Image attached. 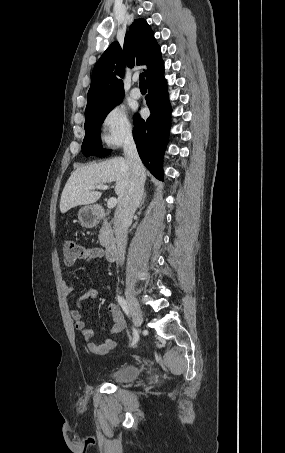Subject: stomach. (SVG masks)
<instances>
[{"label":"stomach","instance_id":"0dacf381","mask_svg":"<svg viewBox=\"0 0 285 453\" xmlns=\"http://www.w3.org/2000/svg\"><path fill=\"white\" fill-rule=\"evenodd\" d=\"M78 219L81 226L92 228L98 223V214L94 207L84 206L78 212Z\"/></svg>","mask_w":285,"mask_h":453}]
</instances>
